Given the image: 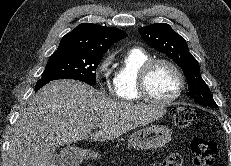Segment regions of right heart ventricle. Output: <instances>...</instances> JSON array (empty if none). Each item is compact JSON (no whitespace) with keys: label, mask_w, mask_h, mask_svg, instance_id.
<instances>
[{"label":"right heart ventricle","mask_w":231,"mask_h":166,"mask_svg":"<svg viewBox=\"0 0 231 166\" xmlns=\"http://www.w3.org/2000/svg\"><path fill=\"white\" fill-rule=\"evenodd\" d=\"M152 59L149 53L141 48L129 49L120 59L114 75V95L121 101H138L137 89L139 70L144 63Z\"/></svg>","instance_id":"obj_1"}]
</instances>
